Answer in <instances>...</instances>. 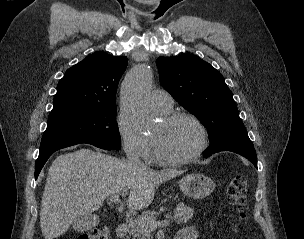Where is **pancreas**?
<instances>
[{
  "mask_svg": "<svg viewBox=\"0 0 304 239\" xmlns=\"http://www.w3.org/2000/svg\"><path fill=\"white\" fill-rule=\"evenodd\" d=\"M194 210L183 203H179L176 206L174 215L171 216L167 214V217L177 221L178 223H186L189 219L193 217ZM159 215V212L145 211L142 215L138 216L134 220L128 223L129 234L132 236V239H150V227L149 224L151 221H155ZM129 239V237H127Z\"/></svg>",
  "mask_w": 304,
  "mask_h": 239,
  "instance_id": "obj_1",
  "label": "pancreas"
}]
</instances>
